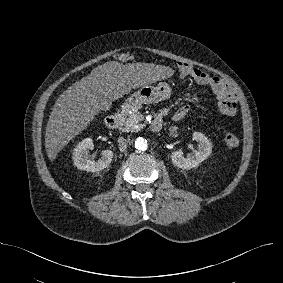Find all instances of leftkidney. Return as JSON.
Returning <instances> with one entry per match:
<instances>
[{"instance_id":"obj_1","label":"left kidney","mask_w":283,"mask_h":283,"mask_svg":"<svg viewBox=\"0 0 283 283\" xmlns=\"http://www.w3.org/2000/svg\"><path fill=\"white\" fill-rule=\"evenodd\" d=\"M193 140L198 142V150H194L187 158L182 156L183 152L181 150H176L171 153L170 157L175 166L188 170L197 167L210 156L212 152V142L204 134L194 132Z\"/></svg>"}]
</instances>
